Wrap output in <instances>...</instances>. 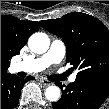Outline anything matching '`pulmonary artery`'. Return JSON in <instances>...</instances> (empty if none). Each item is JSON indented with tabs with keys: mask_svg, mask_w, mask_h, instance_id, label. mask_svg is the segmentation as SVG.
Returning a JSON list of instances; mask_svg holds the SVG:
<instances>
[{
	"mask_svg": "<svg viewBox=\"0 0 109 109\" xmlns=\"http://www.w3.org/2000/svg\"><path fill=\"white\" fill-rule=\"evenodd\" d=\"M66 54V48L62 41L54 40L50 49L40 57L18 62L13 65L15 71L40 72L53 63H59ZM76 75L69 78V82H74Z\"/></svg>",
	"mask_w": 109,
	"mask_h": 109,
	"instance_id": "pulmonary-artery-1",
	"label": "pulmonary artery"
}]
</instances>
